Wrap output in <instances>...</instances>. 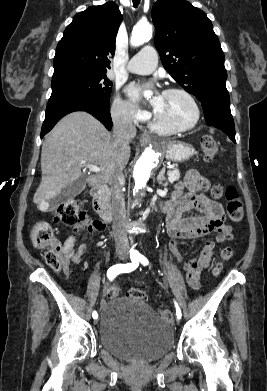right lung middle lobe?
<instances>
[{"instance_id": "1", "label": "right lung middle lobe", "mask_w": 267, "mask_h": 391, "mask_svg": "<svg viewBox=\"0 0 267 391\" xmlns=\"http://www.w3.org/2000/svg\"><path fill=\"white\" fill-rule=\"evenodd\" d=\"M48 104L67 98L97 101L109 106L112 82L106 71H72L52 77Z\"/></svg>"}]
</instances>
